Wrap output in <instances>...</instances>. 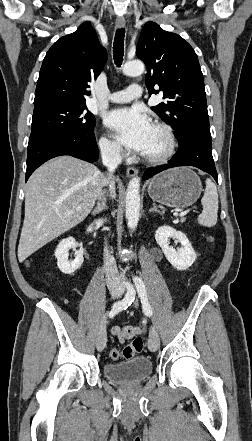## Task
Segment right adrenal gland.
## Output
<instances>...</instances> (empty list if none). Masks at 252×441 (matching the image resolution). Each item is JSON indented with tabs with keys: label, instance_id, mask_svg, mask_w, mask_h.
Returning <instances> with one entry per match:
<instances>
[{
	"label": "right adrenal gland",
	"instance_id": "right-adrenal-gland-1",
	"mask_svg": "<svg viewBox=\"0 0 252 441\" xmlns=\"http://www.w3.org/2000/svg\"><path fill=\"white\" fill-rule=\"evenodd\" d=\"M105 209H107L106 197L103 195L102 198L100 199V201L97 203V206L93 210L92 214L93 215L99 214Z\"/></svg>",
	"mask_w": 252,
	"mask_h": 441
}]
</instances>
